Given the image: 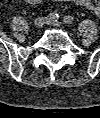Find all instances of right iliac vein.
I'll list each match as a JSON object with an SVG mask.
<instances>
[{
	"mask_svg": "<svg viewBox=\"0 0 100 118\" xmlns=\"http://www.w3.org/2000/svg\"><path fill=\"white\" fill-rule=\"evenodd\" d=\"M47 19L45 17H38L34 21V25L37 28L42 27L46 23Z\"/></svg>",
	"mask_w": 100,
	"mask_h": 118,
	"instance_id": "1",
	"label": "right iliac vein"
}]
</instances>
